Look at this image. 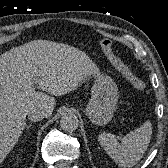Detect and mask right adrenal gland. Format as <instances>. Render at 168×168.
<instances>
[{
	"instance_id": "obj_1",
	"label": "right adrenal gland",
	"mask_w": 168,
	"mask_h": 168,
	"mask_svg": "<svg viewBox=\"0 0 168 168\" xmlns=\"http://www.w3.org/2000/svg\"><path fill=\"white\" fill-rule=\"evenodd\" d=\"M32 126V124H29L26 126V129H29Z\"/></svg>"
}]
</instances>
